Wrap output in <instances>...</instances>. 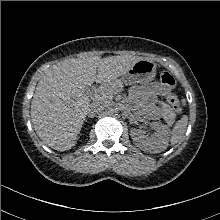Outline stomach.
Here are the masks:
<instances>
[{"instance_id":"1","label":"stomach","mask_w":220,"mask_h":220,"mask_svg":"<svg viewBox=\"0 0 220 220\" xmlns=\"http://www.w3.org/2000/svg\"><path fill=\"white\" fill-rule=\"evenodd\" d=\"M156 76V64L147 59L137 61L122 77L126 85L145 84Z\"/></svg>"}]
</instances>
